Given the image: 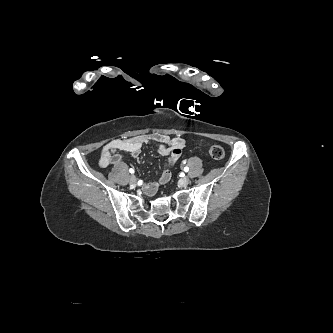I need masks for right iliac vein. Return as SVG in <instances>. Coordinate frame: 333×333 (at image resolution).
<instances>
[{"mask_svg":"<svg viewBox=\"0 0 333 333\" xmlns=\"http://www.w3.org/2000/svg\"><path fill=\"white\" fill-rule=\"evenodd\" d=\"M129 182H130L131 185L135 186L136 183H137V179H136V177H135L134 175H131V176L129 177Z\"/></svg>","mask_w":333,"mask_h":333,"instance_id":"right-iliac-vein-1","label":"right iliac vein"}]
</instances>
